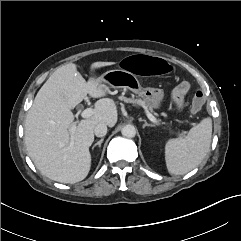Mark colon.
<instances>
[{"label":"colon","instance_id":"5ec220e1","mask_svg":"<svg viewBox=\"0 0 241 241\" xmlns=\"http://www.w3.org/2000/svg\"><path fill=\"white\" fill-rule=\"evenodd\" d=\"M121 66L124 70L140 76L167 75L172 70L169 59L147 54H126L121 59ZM203 105L204 95L202 92H197L192 101V111L199 112Z\"/></svg>","mask_w":241,"mask_h":241}]
</instances>
